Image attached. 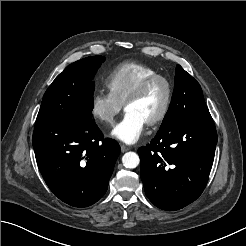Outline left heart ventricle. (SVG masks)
Instances as JSON below:
<instances>
[{"instance_id":"b2bd125f","label":"left heart ventricle","mask_w":246,"mask_h":246,"mask_svg":"<svg viewBox=\"0 0 246 246\" xmlns=\"http://www.w3.org/2000/svg\"><path fill=\"white\" fill-rule=\"evenodd\" d=\"M166 98V87L162 81H155L136 101L126 107V111L135 112L146 123L161 111Z\"/></svg>"}]
</instances>
